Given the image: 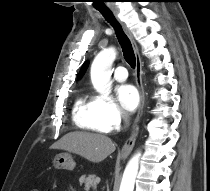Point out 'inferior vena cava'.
I'll return each mask as SVG.
<instances>
[{
    "mask_svg": "<svg viewBox=\"0 0 210 191\" xmlns=\"http://www.w3.org/2000/svg\"><path fill=\"white\" fill-rule=\"evenodd\" d=\"M124 119H125L126 124H129V119L127 115L124 116Z\"/></svg>",
    "mask_w": 210,
    "mask_h": 191,
    "instance_id": "obj_1",
    "label": "inferior vena cava"
}]
</instances>
